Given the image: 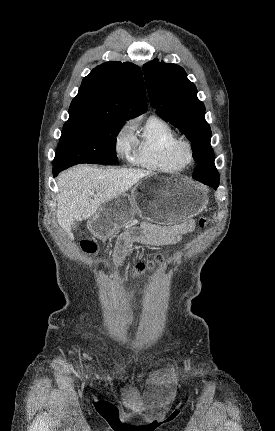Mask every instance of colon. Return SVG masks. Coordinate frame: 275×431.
<instances>
[{
	"label": "colon",
	"instance_id": "obj_1",
	"mask_svg": "<svg viewBox=\"0 0 275 431\" xmlns=\"http://www.w3.org/2000/svg\"><path fill=\"white\" fill-rule=\"evenodd\" d=\"M207 222L208 221H207L206 218H201L200 221H199L200 226H202V227H204L207 224ZM81 248L83 249L84 252L89 253V254L90 253H94L95 250H96L95 244L92 241H90V240H83L81 242ZM162 262H163V257L161 255H157L149 263H139L136 266V268L134 270V273L137 274V275H139V274L143 273L147 269H151V268H154L155 266H157L159 264H162Z\"/></svg>",
	"mask_w": 275,
	"mask_h": 431
}]
</instances>
